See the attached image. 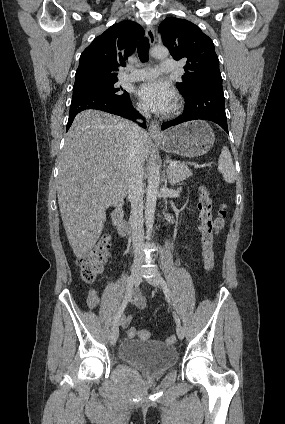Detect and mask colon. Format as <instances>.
<instances>
[{"label":"colon","instance_id":"5ec220e1","mask_svg":"<svg viewBox=\"0 0 285 424\" xmlns=\"http://www.w3.org/2000/svg\"><path fill=\"white\" fill-rule=\"evenodd\" d=\"M211 198L206 187H202L200 191L199 209L201 212V232L203 244V260L205 270L210 273L214 268V251L213 243L215 235L221 230L223 220L226 215L225 205L219 207L218 215L215 219L211 216ZM111 241L107 234L102 235L97 241L94 248L88 253L80 256L77 260L80 268V276L83 281H93L101 272L106 259L110 254ZM128 338L139 336L141 339H148L150 334L146 330L137 331L135 328H130L127 332ZM166 341L173 343L174 336H169Z\"/></svg>","mask_w":285,"mask_h":424}]
</instances>
